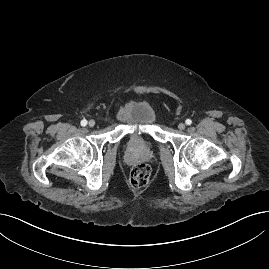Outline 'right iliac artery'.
Segmentation results:
<instances>
[{
  "label": "right iliac artery",
  "instance_id": "right-iliac-artery-1",
  "mask_svg": "<svg viewBox=\"0 0 269 269\" xmlns=\"http://www.w3.org/2000/svg\"><path fill=\"white\" fill-rule=\"evenodd\" d=\"M80 124H81V126H86L87 125V120L83 119Z\"/></svg>",
  "mask_w": 269,
  "mask_h": 269
}]
</instances>
